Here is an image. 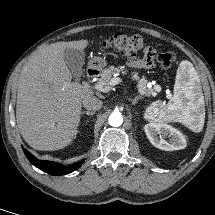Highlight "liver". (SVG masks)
<instances>
[{
  "instance_id": "obj_1",
  "label": "liver",
  "mask_w": 215,
  "mask_h": 215,
  "mask_svg": "<svg viewBox=\"0 0 215 215\" xmlns=\"http://www.w3.org/2000/svg\"><path fill=\"white\" fill-rule=\"evenodd\" d=\"M88 40L56 42L35 51L17 77L16 120L24 140L36 150L68 146L80 122L88 86L71 82L64 61L66 48L83 50Z\"/></svg>"
}]
</instances>
